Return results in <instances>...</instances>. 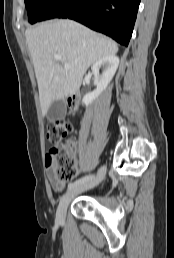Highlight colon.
Here are the masks:
<instances>
[{"label":"colon","mask_w":174,"mask_h":258,"mask_svg":"<svg viewBox=\"0 0 174 258\" xmlns=\"http://www.w3.org/2000/svg\"><path fill=\"white\" fill-rule=\"evenodd\" d=\"M72 130L73 126L67 120H56L48 125L47 138L52 148L47 154V161L60 180H69L77 172L76 161L72 155L73 142L67 139Z\"/></svg>","instance_id":"colon-1"}]
</instances>
